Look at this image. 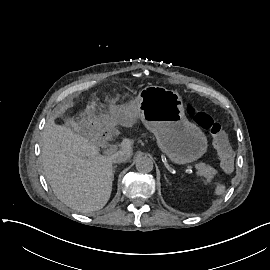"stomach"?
I'll list each match as a JSON object with an SVG mask.
<instances>
[{"mask_svg":"<svg viewBox=\"0 0 270 270\" xmlns=\"http://www.w3.org/2000/svg\"><path fill=\"white\" fill-rule=\"evenodd\" d=\"M119 113L123 118L138 116L155 135L160 149L177 164L193 162L207 150L205 134L188 121L182 100L174 91L146 86Z\"/></svg>","mask_w":270,"mask_h":270,"instance_id":"obj_1","label":"stomach"}]
</instances>
